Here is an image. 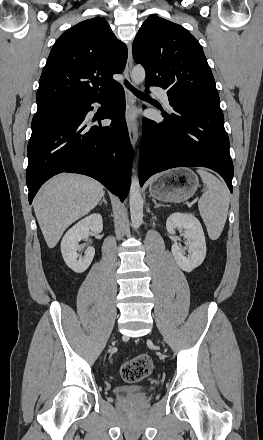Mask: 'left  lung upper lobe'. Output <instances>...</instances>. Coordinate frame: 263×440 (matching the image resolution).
<instances>
[{"instance_id": "left-lung-upper-lobe-1", "label": "left lung upper lobe", "mask_w": 263, "mask_h": 440, "mask_svg": "<svg viewBox=\"0 0 263 440\" xmlns=\"http://www.w3.org/2000/svg\"><path fill=\"white\" fill-rule=\"evenodd\" d=\"M145 81L167 89L177 101L220 104L214 77L199 42L182 26L149 17L133 42Z\"/></svg>"}]
</instances>
